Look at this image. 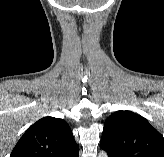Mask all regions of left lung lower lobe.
I'll use <instances>...</instances> for the list:
<instances>
[{
	"label": "left lung lower lobe",
	"mask_w": 164,
	"mask_h": 157,
	"mask_svg": "<svg viewBox=\"0 0 164 157\" xmlns=\"http://www.w3.org/2000/svg\"><path fill=\"white\" fill-rule=\"evenodd\" d=\"M100 146L107 152V157H118V155L112 149L108 148L106 145L100 143Z\"/></svg>",
	"instance_id": "1"
}]
</instances>
